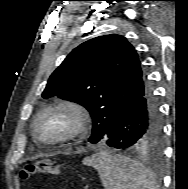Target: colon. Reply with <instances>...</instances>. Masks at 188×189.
Masks as SVG:
<instances>
[{"mask_svg": "<svg viewBox=\"0 0 188 189\" xmlns=\"http://www.w3.org/2000/svg\"><path fill=\"white\" fill-rule=\"evenodd\" d=\"M36 174H59L58 166L51 160L43 159L36 162H27L20 170V177L24 180Z\"/></svg>", "mask_w": 188, "mask_h": 189, "instance_id": "1", "label": "colon"}]
</instances>
